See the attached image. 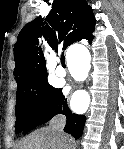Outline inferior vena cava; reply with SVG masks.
<instances>
[{"label": "inferior vena cava", "mask_w": 124, "mask_h": 149, "mask_svg": "<svg viewBox=\"0 0 124 149\" xmlns=\"http://www.w3.org/2000/svg\"><path fill=\"white\" fill-rule=\"evenodd\" d=\"M65 124L66 118L62 115H59L53 120L50 127L55 132L56 137H59L61 140H63L62 145L64 146H62V149H71L72 139H68V136H65V134H63V128Z\"/></svg>", "instance_id": "inferior-vena-cava-1"}]
</instances>
